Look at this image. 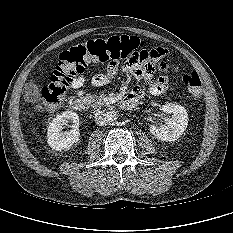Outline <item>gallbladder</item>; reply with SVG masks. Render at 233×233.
<instances>
[{
    "label": "gallbladder",
    "instance_id": "gallbladder-1",
    "mask_svg": "<svg viewBox=\"0 0 233 233\" xmlns=\"http://www.w3.org/2000/svg\"><path fill=\"white\" fill-rule=\"evenodd\" d=\"M34 90L36 91V93L39 94V89L38 88H35Z\"/></svg>",
    "mask_w": 233,
    "mask_h": 233
}]
</instances>
